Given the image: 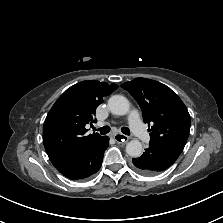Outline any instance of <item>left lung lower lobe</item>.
Segmentation results:
<instances>
[{"label":"left lung lower lobe","mask_w":223,"mask_h":223,"mask_svg":"<svg viewBox=\"0 0 223 223\" xmlns=\"http://www.w3.org/2000/svg\"><path fill=\"white\" fill-rule=\"evenodd\" d=\"M182 151L165 144L151 143L141 157L133 158V168L143 175H154L170 167Z\"/></svg>","instance_id":"0a47b994"}]
</instances>
